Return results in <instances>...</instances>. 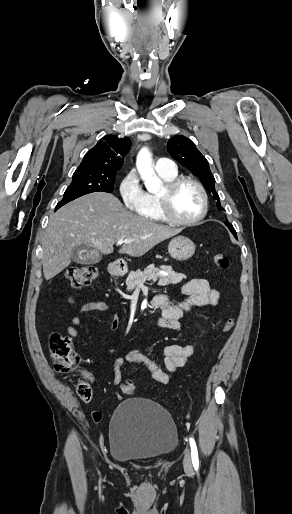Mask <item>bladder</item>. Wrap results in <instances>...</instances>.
<instances>
[{"label":"bladder","mask_w":292,"mask_h":514,"mask_svg":"<svg viewBox=\"0 0 292 514\" xmlns=\"http://www.w3.org/2000/svg\"><path fill=\"white\" fill-rule=\"evenodd\" d=\"M177 441L178 431L171 414L151 400H124L112 414L109 444L117 460L157 459L170 453Z\"/></svg>","instance_id":"31cf9c89"}]
</instances>
